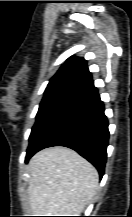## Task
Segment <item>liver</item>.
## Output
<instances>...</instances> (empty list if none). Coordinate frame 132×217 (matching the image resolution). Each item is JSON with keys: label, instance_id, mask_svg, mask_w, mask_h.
Returning a JSON list of instances; mask_svg holds the SVG:
<instances>
[{"label": "liver", "instance_id": "obj_1", "mask_svg": "<svg viewBox=\"0 0 132 217\" xmlns=\"http://www.w3.org/2000/svg\"><path fill=\"white\" fill-rule=\"evenodd\" d=\"M28 173V197L35 216H79L98 188L95 167L66 147L36 153Z\"/></svg>", "mask_w": 132, "mask_h": 217}]
</instances>
